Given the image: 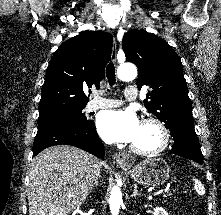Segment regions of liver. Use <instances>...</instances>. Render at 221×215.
<instances>
[{
    "mask_svg": "<svg viewBox=\"0 0 221 215\" xmlns=\"http://www.w3.org/2000/svg\"><path fill=\"white\" fill-rule=\"evenodd\" d=\"M103 163L76 147L56 145L30 164L29 215H69L81 207Z\"/></svg>",
    "mask_w": 221,
    "mask_h": 215,
    "instance_id": "6515ba94",
    "label": "liver"
}]
</instances>
